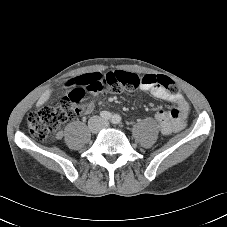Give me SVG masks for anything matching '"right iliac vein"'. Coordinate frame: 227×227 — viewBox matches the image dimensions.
Here are the masks:
<instances>
[{
  "label": "right iliac vein",
  "instance_id": "63e3f726",
  "mask_svg": "<svg viewBox=\"0 0 227 227\" xmlns=\"http://www.w3.org/2000/svg\"><path fill=\"white\" fill-rule=\"evenodd\" d=\"M90 130H91L92 132H97V130H98V124H97L96 121H93V122L90 124Z\"/></svg>",
  "mask_w": 227,
  "mask_h": 227
}]
</instances>
